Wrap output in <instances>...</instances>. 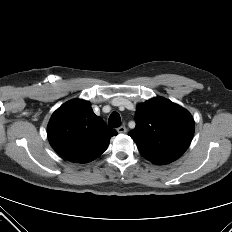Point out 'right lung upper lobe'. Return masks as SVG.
Returning <instances> with one entry per match:
<instances>
[{
  "label": "right lung upper lobe",
  "mask_w": 232,
  "mask_h": 232,
  "mask_svg": "<svg viewBox=\"0 0 232 232\" xmlns=\"http://www.w3.org/2000/svg\"><path fill=\"white\" fill-rule=\"evenodd\" d=\"M52 148L71 162L88 163L108 147L117 135L103 119L94 114L88 101L74 99L59 107L52 115L48 128Z\"/></svg>",
  "instance_id": "cb5924a9"
}]
</instances>
